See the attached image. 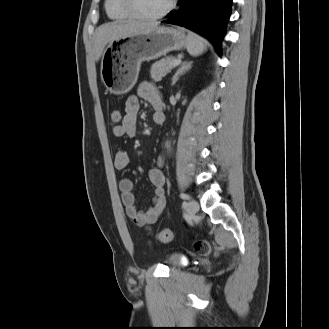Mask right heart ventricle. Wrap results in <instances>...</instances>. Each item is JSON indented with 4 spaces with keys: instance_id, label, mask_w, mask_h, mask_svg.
<instances>
[{
    "instance_id": "1",
    "label": "right heart ventricle",
    "mask_w": 329,
    "mask_h": 329,
    "mask_svg": "<svg viewBox=\"0 0 329 329\" xmlns=\"http://www.w3.org/2000/svg\"><path fill=\"white\" fill-rule=\"evenodd\" d=\"M105 11L107 16L114 21H125L131 18L122 8L120 0H105Z\"/></svg>"
}]
</instances>
